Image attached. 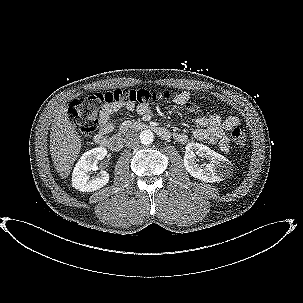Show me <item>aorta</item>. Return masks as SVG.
<instances>
[{"instance_id": "obj_1", "label": "aorta", "mask_w": 303, "mask_h": 303, "mask_svg": "<svg viewBox=\"0 0 303 303\" xmlns=\"http://www.w3.org/2000/svg\"><path fill=\"white\" fill-rule=\"evenodd\" d=\"M139 140L143 145L151 144L154 141V134L151 130H143L139 134Z\"/></svg>"}]
</instances>
